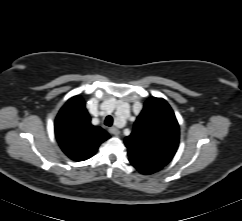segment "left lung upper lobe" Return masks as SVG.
<instances>
[{"mask_svg": "<svg viewBox=\"0 0 242 221\" xmlns=\"http://www.w3.org/2000/svg\"><path fill=\"white\" fill-rule=\"evenodd\" d=\"M179 143V125L169 104L151 97L126 137L129 160L165 166L173 158Z\"/></svg>", "mask_w": 242, "mask_h": 221, "instance_id": "5c2ea615", "label": "left lung upper lobe"}]
</instances>
